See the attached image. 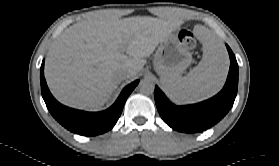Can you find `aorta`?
Listing matches in <instances>:
<instances>
[{"label": "aorta", "instance_id": "obj_1", "mask_svg": "<svg viewBox=\"0 0 279 166\" xmlns=\"http://www.w3.org/2000/svg\"><path fill=\"white\" fill-rule=\"evenodd\" d=\"M139 90L143 94H152L154 91V84L149 79H143L139 84Z\"/></svg>", "mask_w": 279, "mask_h": 166}]
</instances>
